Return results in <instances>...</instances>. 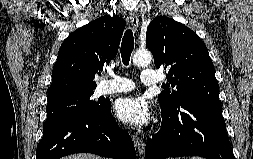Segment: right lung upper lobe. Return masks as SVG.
I'll list each match as a JSON object with an SVG mask.
<instances>
[{
  "instance_id": "1",
  "label": "right lung upper lobe",
  "mask_w": 253,
  "mask_h": 159,
  "mask_svg": "<svg viewBox=\"0 0 253 159\" xmlns=\"http://www.w3.org/2000/svg\"><path fill=\"white\" fill-rule=\"evenodd\" d=\"M125 26L121 17L103 16L72 32L59 49L49 99L93 91L95 75L116 56Z\"/></svg>"
}]
</instances>
